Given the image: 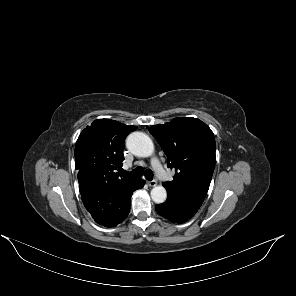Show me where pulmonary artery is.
I'll use <instances>...</instances> for the list:
<instances>
[{"label": "pulmonary artery", "instance_id": "e3ab8cb5", "mask_svg": "<svg viewBox=\"0 0 296 296\" xmlns=\"http://www.w3.org/2000/svg\"><path fill=\"white\" fill-rule=\"evenodd\" d=\"M153 165H154L157 175L161 178H166L167 173L165 172L163 167L158 162H153Z\"/></svg>", "mask_w": 296, "mask_h": 296}]
</instances>
